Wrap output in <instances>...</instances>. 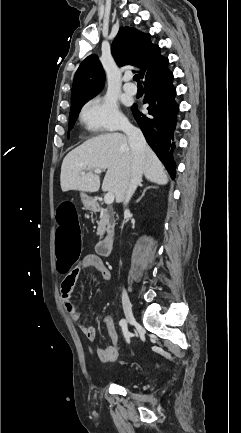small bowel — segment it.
<instances>
[{
  "mask_svg": "<svg viewBox=\"0 0 241 433\" xmlns=\"http://www.w3.org/2000/svg\"><path fill=\"white\" fill-rule=\"evenodd\" d=\"M87 268H94L105 281H108L111 277L110 271L102 258L96 253L88 254L71 272L66 273L61 283V300L67 314L78 325L85 339L89 342H94L96 339L95 328L82 321L81 315L72 301L74 286L82 271ZM102 323L106 328L111 344L97 348V356L101 362H112L118 356V332L111 315L104 316Z\"/></svg>",
  "mask_w": 241,
  "mask_h": 433,
  "instance_id": "1",
  "label": "small bowel"
}]
</instances>
